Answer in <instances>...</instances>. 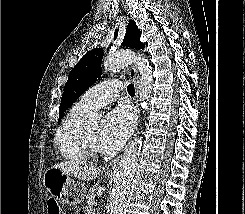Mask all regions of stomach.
<instances>
[{"label":"stomach","mask_w":245,"mask_h":214,"mask_svg":"<svg viewBox=\"0 0 245 214\" xmlns=\"http://www.w3.org/2000/svg\"><path fill=\"white\" fill-rule=\"evenodd\" d=\"M43 184L50 195L60 203L78 205L85 199V185L74 181L70 175L60 169L53 167L47 169L43 177Z\"/></svg>","instance_id":"1"}]
</instances>
